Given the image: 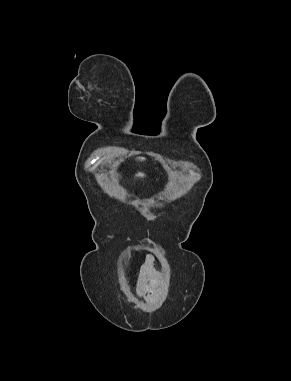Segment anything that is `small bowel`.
<instances>
[{
	"label": "small bowel",
	"instance_id": "small-bowel-1",
	"mask_svg": "<svg viewBox=\"0 0 291 381\" xmlns=\"http://www.w3.org/2000/svg\"><path fill=\"white\" fill-rule=\"evenodd\" d=\"M154 257L149 254L143 262L137 281L133 285L135 294L147 303H154L159 296L162 274L154 267Z\"/></svg>",
	"mask_w": 291,
	"mask_h": 381
}]
</instances>
